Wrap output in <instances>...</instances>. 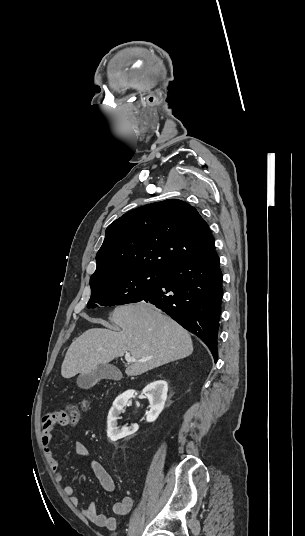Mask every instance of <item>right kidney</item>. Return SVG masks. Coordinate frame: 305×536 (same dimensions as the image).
I'll list each match as a JSON object with an SVG mask.
<instances>
[{
	"mask_svg": "<svg viewBox=\"0 0 305 536\" xmlns=\"http://www.w3.org/2000/svg\"><path fill=\"white\" fill-rule=\"evenodd\" d=\"M143 392H145V396H147L150 404V410L147 414V422H155L165 406L168 384L165 380H157V382L148 384ZM131 396H133V392L132 390H128V392H124V394L118 396L115 402H113L107 420V436L110 438L111 442H117V440H121V438H126V436L133 434L129 428H122V430H118L117 428V420H120L119 416Z\"/></svg>",
	"mask_w": 305,
	"mask_h": 536,
	"instance_id": "right-kidney-1",
	"label": "right kidney"
}]
</instances>
